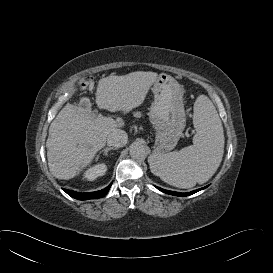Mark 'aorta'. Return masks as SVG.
Listing matches in <instances>:
<instances>
[{
    "instance_id": "1",
    "label": "aorta",
    "mask_w": 273,
    "mask_h": 273,
    "mask_svg": "<svg viewBox=\"0 0 273 273\" xmlns=\"http://www.w3.org/2000/svg\"><path fill=\"white\" fill-rule=\"evenodd\" d=\"M130 155L134 159H141L146 156V147L138 142H134L130 146Z\"/></svg>"
}]
</instances>
